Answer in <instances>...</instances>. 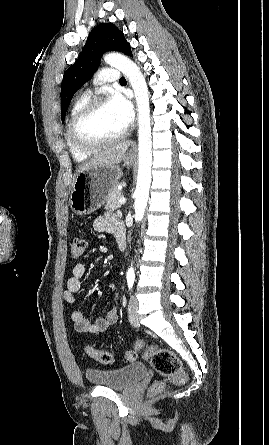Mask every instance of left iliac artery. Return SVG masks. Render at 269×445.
I'll list each match as a JSON object with an SVG mask.
<instances>
[{"label": "left iliac artery", "mask_w": 269, "mask_h": 445, "mask_svg": "<svg viewBox=\"0 0 269 445\" xmlns=\"http://www.w3.org/2000/svg\"><path fill=\"white\" fill-rule=\"evenodd\" d=\"M134 280H135L134 276H132V275L127 276V282H128L129 289H132Z\"/></svg>", "instance_id": "1"}]
</instances>
